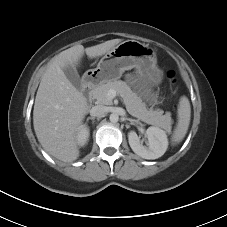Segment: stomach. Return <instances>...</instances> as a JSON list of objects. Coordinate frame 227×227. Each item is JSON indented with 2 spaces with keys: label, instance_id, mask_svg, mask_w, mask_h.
Returning <instances> with one entry per match:
<instances>
[{
  "label": "stomach",
  "instance_id": "stomach-1",
  "mask_svg": "<svg viewBox=\"0 0 227 227\" xmlns=\"http://www.w3.org/2000/svg\"><path fill=\"white\" fill-rule=\"evenodd\" d=\"M135 69L149 87L160 84L163 72L157 65L156 52L151 47L136 41L126 40L108 51L94 69L85 76L92 82L102 84L119 79L126 70Z\"/></svg>",
  "mask_w": 227,
  "mask_h": 227
}]
</instances>
